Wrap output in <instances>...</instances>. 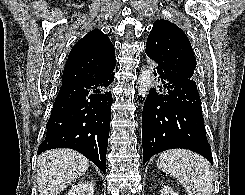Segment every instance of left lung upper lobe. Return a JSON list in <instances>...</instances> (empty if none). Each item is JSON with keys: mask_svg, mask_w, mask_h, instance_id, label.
<instances>
[{"mask_svg": "<svg viewBox=\"0 0 245 195\" xmlns=\"http://www.w3.org/2000/svg\"><path fill=\"white\" fill-rule=\"evenodd\" d=\"M145 52L170 75L181 80H193L196 59L189 39L174 23L156 20L148 36Z\"/></svg>", "mask_w": 245, "mask_h": 195, "instance_id": "left-lung-upper-lobe-1", "label": "left lung upper lobe"}]
</instances>
